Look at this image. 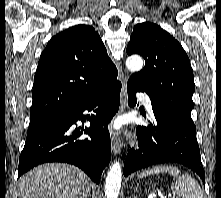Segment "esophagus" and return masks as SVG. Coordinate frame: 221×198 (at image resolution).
<instances>
[{
	"label": "esophagus",
	"mask_w": 221,
	"mask_h": 198,
	"mask_svg": "<svg viewBox=\"0 0 221 198\" xmlns=\"http://www.w3.org/2000/svg\"><path fill=\"white\" fill-rule=\"evenodd\" d=\"M126 86H127V77H124L122 79V89H121V99H120V112L122 113L125 109V105H126ZM111 145H112V151L114 152V154H119L121 152L122 149V138L121 136L117 135H113L112 137V141H111Z\"/></svg>",
	"instance_id": "34e87169"
}]
</instances>
